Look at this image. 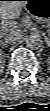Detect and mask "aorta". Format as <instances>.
<instances>
[{
    "label": "aorta",
    "mask_w": 50,
    "mask_h": 111,
    "mask_svg": "<svg viewBox=\"0 0 50 111\" xmlns=\"http://www.w3.org/2000/svg\"><path fill=\"white\" fill-rule=\"evenodd\" d=\"M25 43L29 49H38V48H40L42 41L39 36L30 35L25 39Z\"/></svg>",
    "instance_id": "762f6f07"
}]
</instances>
